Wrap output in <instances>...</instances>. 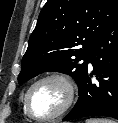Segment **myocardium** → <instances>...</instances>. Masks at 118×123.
I'll list each match as a JSON object with an SVG mask.
<instances>
[{
    "instance_id": "f54148a6",
    "label": "myocardium",
    "mask_w": 118,
    "mask_h": 123,
    "mask_svg": "<svg viewBox=\"0 0 118 123\" xmlns=\"http://www.w3.org/2000/svg\"><path fill=\"white\" fill-rule=\"evenodd\" d=\"M57 81L60 84L63 85V87L66 90V100L62 107L53 115L47 116V117H40L35 115L30 106V96L32 91L41 83L46 82V81ZM76 97V85L74 81L65 73L62 72H51L46 75H43L42 77L38 78L36 81H34L30 87L27 89L24 97V107L27 115L36 120V121H41V122H47V121H52L55 120L62 115H64L72 106L74 103Z\"/></svg>"
}]
</instances>
